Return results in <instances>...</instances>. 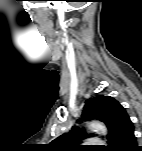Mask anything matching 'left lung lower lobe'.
I'll return each mask as SVG.
<instances>
[{"label":"left lung lower lobe","instance_id":"left-lung-lower-lobe-1","mask_svg":"<svg viewBox=\"0 0 142 151\" xmlns=\"http://www.w3.org/2000/svg\"><path fill=\"white\" fill-rule=\"evenodd\" d=\"M136 144L137 142L136 137L134 135L133 127L129 129L124 135L121 136V138L112 148V151H142V149L138 148Z\"/></svg>","mask_w":142,"mask_h":151}]
</instances>
